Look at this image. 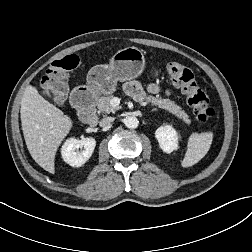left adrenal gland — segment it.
<instances>
[{
    "label": "left adrenal gland",
    "instance_id": "left-adrenal-gland-1",
    "mask_svg": "<svg viewBox=\"0 0 252 252\" xmlns=\"http://www.w3.org/2000/svg\"><path fill=\"white\" fill-rule=\"evenodd\" d=\"M154 111H156V109H152V110H151V112H154Z\"/></svg>",
    "mask_w": 252,
    "mask_h": 252
}]
</instances>
